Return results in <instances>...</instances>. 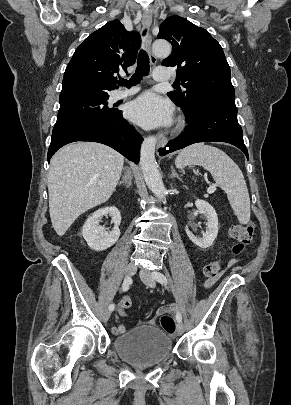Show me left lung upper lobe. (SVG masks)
<instances>
[{"instance_id": "obj_1", "label": "left lung upper lobe", "mask_w": 291, "mask_h": 405, "mask_svg": "<svg viewBox=\"0 0 291 405\" xmlns=\"http://www.w3.org/2000/svg\"><path fill=\"white\" fill-rule=\"evenodd\" d=\"M157 38L172 44V54L162 65L175 67L184 92L168 96L183 109L195 106L198 98L210 95H235L228 62L220 44L186 18L171 16L160 26Z\"/></svg>"}]
</instances>
